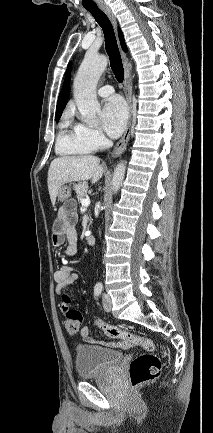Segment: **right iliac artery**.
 I'll return each mask as SVG.
<instances>
[{"mask_svg": "<svg viewBox=\"0 0 213 433\" xmlns=\"http://www.w3.org/2000/svg\"><path fill=\"white\" fill-rule=\"evenodd\" d=\"M101 292H102V287L97 286L94 288V295L96 298H98L100 296Z\"/></svg>", "mask_w": 213, "mask_h": 433, "instance_id": "right-iliac-artery-1", "label": "right iliac artery"}]
</instances>
